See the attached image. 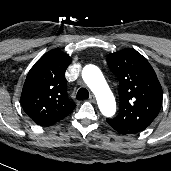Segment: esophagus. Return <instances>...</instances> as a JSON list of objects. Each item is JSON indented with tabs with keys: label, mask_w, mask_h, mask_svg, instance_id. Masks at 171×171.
I'll return each mask as SVG.
<instances>
[{
	"label": "esophagus",
	"mask_w": 171,
	"mask_h": 171,
	"mask_svg": "<svg viewBox=\"0 0 171 171\" xmlns=\"http://www.w3.org/2000/svg\"><path fill=\"white\" fill-rule=\"evenodd\" d=\"M89 101L92 102V103L96 102V99H95L94 95L89 96Z\"/></svg>",
	"instance_id": "obj_1"
}]
</instances>
